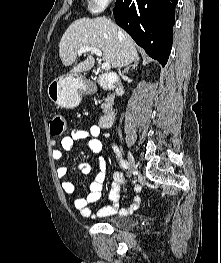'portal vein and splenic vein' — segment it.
Segmentation results:
<instances>
[{"label":"portal vein and splenic vein","mask_w":221,"mask_h":263,"mask_svg":"<svg viewBox=\"0 0 221 263\" xmlns=\"http://www.w3.org/2000/svg\"><path fill=\"white\" fill-rule=\"evenodd\" d=\"M93 52L94 54H96L97 56L101 57L102 56V51L96 47H90V46H84V47H81L79 50H78V55H82V53H85V52ZM111 68V64L109 62H104L102 64V69L105 70V71H108L110 70Z\"/></svg>","instance_id":"obj_1"}]
</instances>
